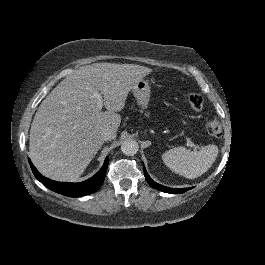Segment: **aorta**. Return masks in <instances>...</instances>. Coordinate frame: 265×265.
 Here are the masks:
<instances>
[{
  "label": "aorta",
  "instance_id": "obj_1",
  "mask_svg": "<svg viewBox=\"0 0 265 265\" xmlns=\"http://www.w3.org/2000/svg\"><path fill=\"white\" fill-rule=\"evenodd\" d=\"M139 145L136 141L128 139L123 141L121 151L127 156H133L137 153Z\"/></svg>",
  "mask_w": 265,
  "mask_h": 265
}]
</instances>
